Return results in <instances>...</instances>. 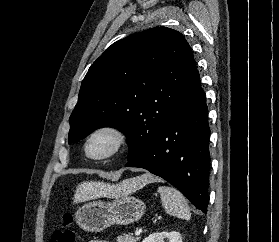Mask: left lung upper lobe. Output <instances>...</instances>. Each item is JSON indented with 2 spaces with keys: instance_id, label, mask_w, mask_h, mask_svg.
<instances>
[{
  "instance_id": "obj_1",
  "label": "left lung upper lobe",
  "mask_w": 279,
  "mask_h": 242,
  "mask_svg": "<svg viewBox=\"0 0 279 242\" xmlns=\"http://www.w3.org/2000/svg\"><path fill=\"white\" fill-rule=\"evenodd\" d=\"M195 72L189 44L173 29L151 28L115 42L82 81L68 142L115 127L128 138V161L136 158L161 132Z\"/></svg>"
}]
</instances>
